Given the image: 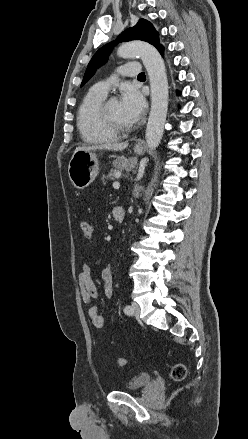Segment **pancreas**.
Masks as SVG:
<instances>
[{
	"instance_id": "obj_1",
	"label": "pancreas",
	"mask_w": 248,
	"mask_h": 439,
	"mask_svg": "<svg viewBox=\"0 0 248 439\" xmlns=\"http://www.w3.org/2000/svg\"><path fill=\"white\" fill-rule=\"evenodd\" d=\"M121 176V171L116 169H111L107 175L102 176V180L105 181V179L115 180Z\"/></svg>"
}]
</instances>
